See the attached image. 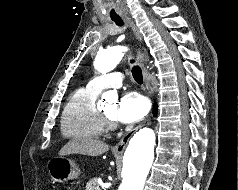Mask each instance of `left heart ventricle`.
Segmentation results:
<instances>
[{
    "label": "left heart ventricle",
    "mask_w": 238,
    "mask_h": 190,
    "mask_svg": "<svg viewBox=\"0 0 238 190\" xmlns=\"http://www.w3.org/2000/svg\"><path fill=\"white\" fill-rule=\"evenodd\" d=\"M117 104H110L106 106L103 110V112L110 118L116 119V111H117Z\"/></svg>",
    "instance_id": "left-heart-ventricle-1"
}]
</instances>
